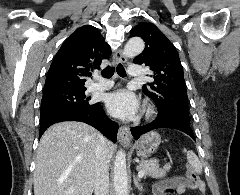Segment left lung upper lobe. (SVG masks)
Masks as SVG:
<instances>
[{"label":"left lung upper lobe","instance_id":"obj_1","mask_svg":"<svg viewBox=\"0 0 240 195\" xmlns=\"http://www.w3.org/2000/svg\"><path fill=\"white\" fill-rule=\"evenodd\" d=\"M145 41V49L134 63L149 66L154 82L143 86L142 91L152 98L160 115H177L190 120L188 97L183 67L179 55L168 38L153 24L139 23L130 31Z\"/></svg>","mask_w":240,"mask_h":195}]
</instances>
